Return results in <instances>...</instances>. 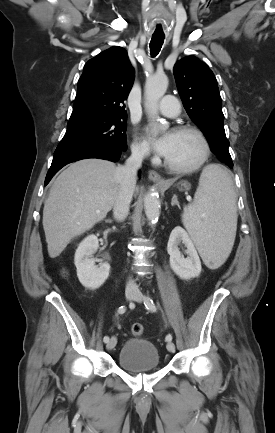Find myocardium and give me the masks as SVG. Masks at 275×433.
Segmentation results:
<instances>
[{
    "label": "myocardium",
    "instance_id": "f54148a6",
    "mask_svg": "<svg viewBox=\"0 0 275 433\" xmlns=\"http://www.w3.org/2000/svg\"><path fill=\"white\" fill-rule=\"evenodd\" d=\"M174 132L188 133V134H193L194 136H196L202 144L203 153H202L200 160L196 164L189 166V167L175 166V165L171 164L165 158L164 159L165 167L174 173L183 174V175L184 174H192V173L197 172L206 164V162L208 161V159L211 155V145H210V142H209L207 136L200 129H198L194 126H188V125L179 126V127L175 128Z\"/></svg>",
    "mask_w": 275,
    "mask_h": 433
}]
</instances>
